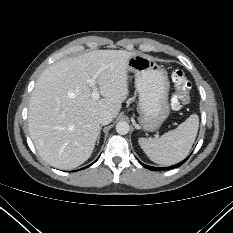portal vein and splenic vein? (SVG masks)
Instances as JSON below:
<instances>
[{"instance_id":"18ae733b","label":"portal vein and splenic vein","mask_w":233,"mask_h":233,"mask_svg":"<svg viewBox=\"0 0 233 233\" xmlns=\"http://www.w3.org/2000/svg\"><path fill=\"white\" fill-rule=\"evenodd\" d=\"M87 83L92 87V98L98 100L100 98L98 87L96 86V77L87 79Z\"/></svg>"}]
</instances>
